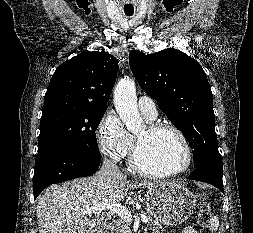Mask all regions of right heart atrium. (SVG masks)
Returning <instances> with one entry per match:
<instances>
[{"mask_svg":"<svg viewBox=\"0 0 253 233\" xmlns=\"http://www.w3.org/2000/svg\"><path fill=\"white\" fill-rule=\"evenodd\" d=\"M97 140L101 153L114 162L126 156L132 146V137L118 115L107 112L97 128Z\"/></svg>","mask_w":253,"mask_h":233,"instance_id":"obj_1","label":"right heart atrium"}]
</instances>
